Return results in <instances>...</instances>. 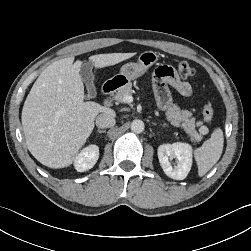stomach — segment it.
Returning a JSON list of instances; mask_svg holds the SVG:
<instances>
[{"instance_id": "stomach-1", "label": "stomach", "mask_w": 251, "mask_h": 251, "mask_svg": "<svg viewBox=\"0 0 251 251\" xmlns=\"http://www.w3.org/2000/svg\"><path fill=\"white\" fill-rule=\"evenodd\" d=\"M159 56L153 51H145L138 57L137 62H129L124 64L120 73L115 75L113 79L119 86L142 76L156 61Z\"/></svg>"}]
</instances>
